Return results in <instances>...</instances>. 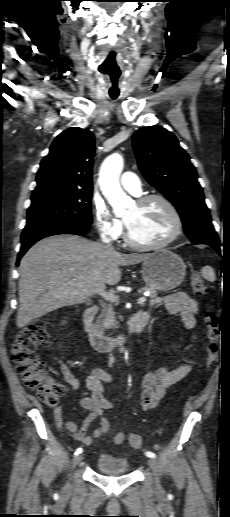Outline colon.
<instances>
[{
	"label": "colon",
	"mask_w": 230,
	"mask_h": 517,
	"mask_svg": "<svg viewBox=\"0 0 230 517\" xmlns=\"http://www.w3.org/2000/svg\"><path fill=\"white\" fill-rule=\"evenodd\" d=\"M191 288L195 295L202 297L207 291L204 280L193 276ZM206 327V367L211 368L216 363L219 354L220 319L213 311L204 314ZM48 340L47 323L37 319L20 329L14 338L12 347V361L25 385L32 389L37 397L48 406H56L65 395V388L55 379L47 375L46 363L37 355L38 345ZM129 444L140 448L142 440L138 435H128Z\"/></svg>",
	"instance_id": "obj_1"
}]
</instances>
